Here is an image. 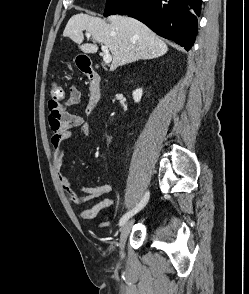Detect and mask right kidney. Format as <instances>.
I'll return each mask as SVG.
<instances>
[{
    "label": "right kidney",
    "mask_w": 249,
    "mask_h": 294,
    "mask_svg": "<svg viewBox=\"0 0 249 294\" xmlns=\"http://www.w3.org/2000/svg\"><path fill=\"white\" fill-rule=\"evenodd\" d=\"M142 94H143V90L141 88L136 89L133 92V99L136 103H138L141 100Z\"/></svg>",
    "instance_id": "1"
}]
</instances>
